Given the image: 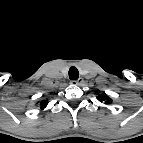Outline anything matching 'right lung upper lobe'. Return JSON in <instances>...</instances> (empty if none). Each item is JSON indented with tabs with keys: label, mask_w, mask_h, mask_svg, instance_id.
<instances>
[{
	"label": "right lung upper lobe",
	"mask_w": 143,
	"mask_h": 143,
	"mask_svg": "<svg viewBox=\"0 0 143 143\" xmlns=\"http://www.w3.org/2000/svg\"><path fill=\"white\" fill-rule=\"evenodd\" d=\"M48 104V101L47 100H43L40 102V105H41V109H44Z\"/></svg>",
	"instance_id": "right-lung-upper-lobe-1"
}]
</instances>
